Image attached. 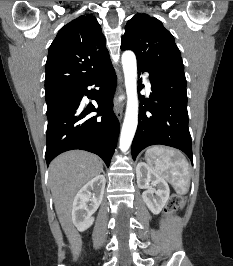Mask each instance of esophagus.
Masks as SVG:
<instances>
[{
    "mask_svg": "<svg viewBox=\"0 0 233 266\" xmlns=\"http://www.w3.org/2000/svg\"><path fill=\"white\" fill-rule=\"evenodd\" d=\"M122 93H123V84L120 82L117 86V91H116L117 97H120ZM123 110H124V103L122 101H119L116 107V115L119 120H121L123 117Z\"/></svg>",
    "mask_w": 233,
    "mask_h": 266,
    "instance_id": "esophagus-1",
    "label": "esophagus"
}]
</instances>
